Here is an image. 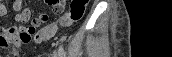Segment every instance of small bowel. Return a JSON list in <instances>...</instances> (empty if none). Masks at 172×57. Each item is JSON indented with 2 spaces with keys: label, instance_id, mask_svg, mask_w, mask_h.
Listing matches in <instances>:
<instances>
[{
  "label": "small bowel",
  "instance_id": "small-bowel-1",
  "mask_svg": "<svg viewBox=\"0 0 172 57\" xmlns=\"http://www.w3.org/2000/svg\"><path fill=\"white\" fill-rule=\"evenodd\" d=\"M44 2L53 5L54 12L58 13L62 11V4H56L53 0H44ZM12 10L15 13L14 20L17 24H9L6 20L0 22V48L16 52L21 46L30 43L32 40L36 44H39L49 39L40 36V33L47 26L38 28L41 24L48 21V14L41 13L29 25H24L30 20V9L23 8L22 0H15L12 3ZM24 11L26 13H23ZM8 13L9 9L6 3L0 1V18H6Z\"/></svg>",
  "mask_w": 172,
  "mask_h": 57
}]
</instances>
